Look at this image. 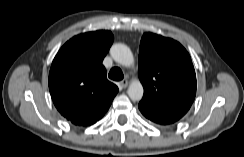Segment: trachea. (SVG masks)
<instances>
[{
	"label": "trachea",
	"instance_id": "trachea-1",
	"mask_svg": "<svg viewBox=\"0 0 244 157\" xmlns=\"http://www.w3.org/2000/svg\"><path fill=\"white\" fill-rule=\"evenodd\" d=\"M109 78L114 81H120L123 79L124 75L120 68L114 67L109 72Z\"/></svg>",
	"mask_w": 244,
	"mask_h": 157
}]
</instances>
